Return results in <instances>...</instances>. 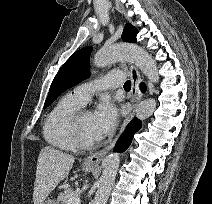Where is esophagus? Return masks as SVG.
Masks as SVG:
<instances>
[{
  "label": "esophagus",
  "mask_w": 212,
  "mask_h": 204,
  "mask_svg": "<svg viewBox=\"0 0 212 204\" xmlns=\"http://www.w3.org/2000/svg\"><path fill=\"white\" fill-rule=\"evenodd\" d=\"M128 68H129V75H130V78H131V81H132V89H131L132 108H131V112L125 118L116 138L108 146H106L104 149H102L101 151L95 152V153L86 157V159L84 160V164L87 165V166H97L105 158V156L109 153V151L114 147L116 141L118 140V138L120 137V135L124 131L127 124L133 118L135 109H136L138 103L140 102V100L142 99V94L140 93V90H139V84L142 81L141 74L139 73V71L137 70V68L134 65H129Z\"/></svg>",
  "instance_id": "1"
}]
</instances>
